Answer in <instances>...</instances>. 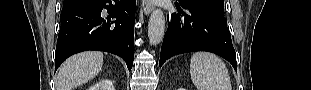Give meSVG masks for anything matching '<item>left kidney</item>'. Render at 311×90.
<instances>
[{"instance_id":"1","label":"left kidney","mask_w":311,"mask_h":90,"mask_svg":"<svg viewBox=\"0 0 311 90\" xmlns=\"http://www.w3.org/2000/svg\"><path fill=\"white\" fill-rule=\"evenodd\" d=\"M179 90H184V88H179Z\"/></svg>"}]
</instances>
